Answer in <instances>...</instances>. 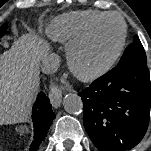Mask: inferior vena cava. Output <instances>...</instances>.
<instances>
[{
	"instance_id": "inferior-vena-cava-1",
	"label": "inferior vena cava",
	"mask_w": 151,
	"mask_h": 151,
	"mask_svg": "<svg viewBox=\"0 0 151 151\" xmlns=\"http://www.w3.org/2000/svg\"><path fill=\"white\" fill-rule=\"evenodd\" d=\"M42 71L45 73H53L55 72L60 65V58L58 55L51 53L46 54L42 57Z\"/></svg>"
}]
</instances>
